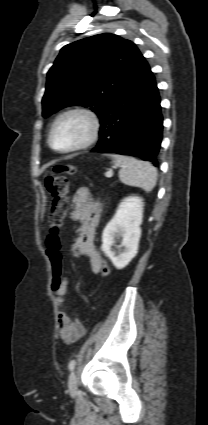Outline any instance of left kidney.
I'll return each instance as SVG.
<instances>
[{"label": "left kidney", "mask_w": 208, "mask_h": 425, "mask_svg": "<svg viewBox=\"0 0 208 425\" xmlns=\"http://www.w3.org/2000/svg\"><path fill=\"white\" fill-rule=\"evenodd\" d=\"M143 206V199L138 196L123 199L103 231L101 249L119 270L125 268L138 252ZM116 236L121 237V245L124 247V251L118 254L112 249Z\"/></svg>", "instance_id": "left-kidney-1"}]
</instances>
